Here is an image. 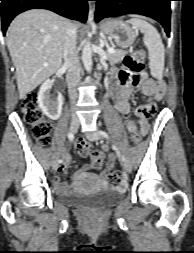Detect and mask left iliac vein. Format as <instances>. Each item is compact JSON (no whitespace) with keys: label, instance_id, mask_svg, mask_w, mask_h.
Wrapping results in <instances>:
<instances>
[{"label":"left iliac vein","instance_id":"4c4485c4","mask_svg":"<svg viewBox=\"0 0 194 253\" xmlns=\"http://www.w3.org/2000/svg\"><path fill=\"white\" fill-rule=\"evenodd\" d=\"M87 136L92 141H98V140L101 139V135L99 134L98 131L90 133ZM123 166H124V169H125L126 172H128V173L131 172L132 167H131V164L128 161H126Z\"/></svg>","mask_w":194,"mask_h":253}]
</instances>
